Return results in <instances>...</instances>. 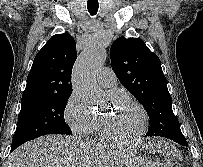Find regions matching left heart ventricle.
I'll use <instances>...</instances> for the list:
<instances>
[{"label": "left heart ventricle", "instance_id": "b2bd125f", "mask_svg": "<svg viewBox=\"0 0 203 167\" xmlns=\"http://www.w3.org/2000/svg\"><path fill=\"white\" fill-rule=\"evenodd\" d=\"M113 107L101 117L105 118L109 130L116 136L129 138L141 127V114L132 104L122 98L112 100Z\"/></svg>", "mask_w": 203, "mask_h": 167}]
</instances>
